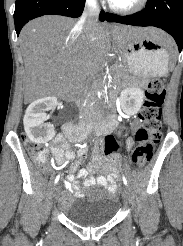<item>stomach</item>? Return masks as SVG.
I'll return each instance as SVG.
<instances>
[{"label": "stomach", "instance_id": "1", "mask_svg": "<svg viewBox=\"0 0 183 246\" xmlns=\"http://www.w3.org/2000/svg\"><path fill=\"white\" fill-rule=\"evenodd\" d=\"M168 45L150 36L128 39L121 50L124 62L134 75L147 77L166 73L169 61Z\"/></svg>", "mask_w": 183, "mask_h": 246}]
</instances>
